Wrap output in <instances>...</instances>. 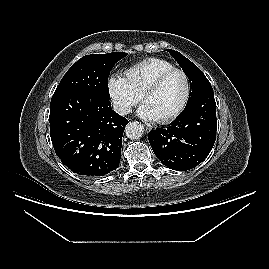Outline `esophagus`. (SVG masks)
<instances>
[{
	"instance_id": "34e87169",
	"label": "esophagus",
	"mask_w": 269,
	"mask_h": 269,
	"mask_svg": "<svg viewBox=\"0 0 269 269\" xmlns=\"http://www.w3.org/2000/svg\"><path fill=\"white\" fill-rule=\"evenodd\" d=\"M143 127H144V130H145L146 132H149V131L151 130V128L148 127V126L143 125Z\"/></svg>"
}]
</instances>
